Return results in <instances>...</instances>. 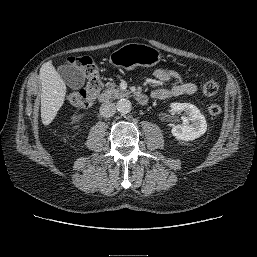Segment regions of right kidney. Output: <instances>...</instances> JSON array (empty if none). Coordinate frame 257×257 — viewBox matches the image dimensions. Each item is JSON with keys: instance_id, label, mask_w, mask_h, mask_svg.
Segmentation results:
<instances>
[{"instance_id": "right-kidney-1", "label": "right kidney", "mask_w": 257, "mask_h": 257, "mask_svg": "<svg viewBox=\"0 0 257 257\" xmlns=\"http://www.w3.org/2000/svg\"><path fill=\"white\" fill-rule=\"evenodd\" d=\"M77 127H78V126H74L73 128H75V129H76Z\"/></svg>"}]
</instances>
